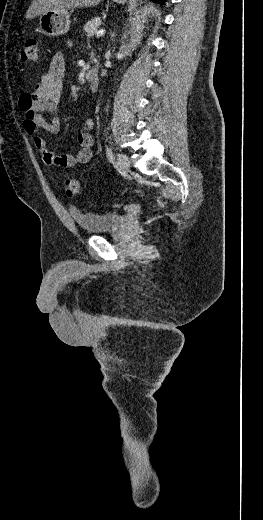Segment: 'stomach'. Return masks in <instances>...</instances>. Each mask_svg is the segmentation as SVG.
I'll return each instance as SVG.
<instances>
[{"mask_svg": "<svg viewBox=\"0 0 263 520\" xmlns=\"http://www.w3.org/2000/svg\"><path fill=\"white\" fill-rule=\"evenodd\" d=\"M113 1L118 4L126 3V0ZM70 23V15L67 10L53 9L40 15L39 28L47 36H60L69 31Z\"/></svg>", "mask_w": 263, "mask_h": 520, "instance_id": "0dacf381", "label": "stomach"}]
</instances>
